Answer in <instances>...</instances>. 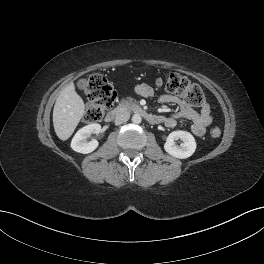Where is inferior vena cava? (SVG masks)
Masks as SVG:
<instances>
[{"label": "inferior vena cava", "instance_id": "1", "mask_svg": "<svg viewBox=\"0 0 264 264\" xmlns=\"http://www.w3.org/2000/svg\"><path fill=\"white\" fill-rule=\"evenodd\" d=\"M130 118L129 112H122L115 118V125H120L126 121H128Z\"/></svg>", "mask_w": 264, "mask_h": 264}]
</instances>
